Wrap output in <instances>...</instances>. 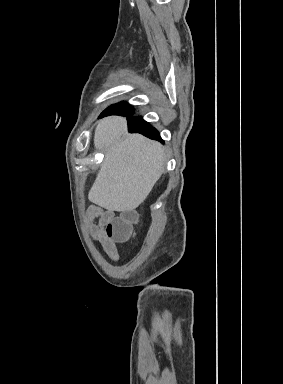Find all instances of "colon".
<instances>
[{"label": "colon", "mask_w": 283, "mask_h": 384, "mask_svg": "<svg viewBox=\"0 0 283 384\" xmlns=\"http://www.w3.org/2000/svg\"><path fill=\"white\" fill-rule=\"evenodd\" d=\"M137 215L126 212L116 217L108 226V235L116 241H126L133 235Z\"/></svg>", "instance_id": "1"}]
</instances>
